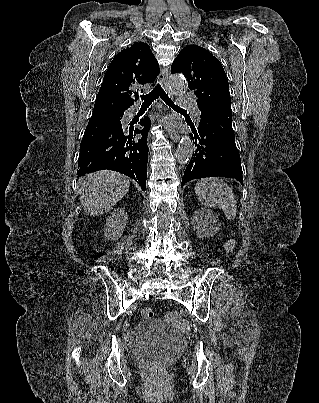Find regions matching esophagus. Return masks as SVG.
Masks as SVG:
<instances>
[{
    "instance_id": "1",
    "label": "esophagus",
    "mask_w": 319,
    "mask_h": 403,
    "mask_svg": "<svg viewBox=\"0 0 319 403\" xmlns=\"http://www.w3.org/2000/svg\"><path fill=\"white\" fill-rule=\"evenodd\" d=\"M158 79H159L161 85H162L164 88L168 89V84H167L168 69H166V68H165V69H162L161 72H160V74H159ZM167 132H168V135H169V137H170L171 140H173L174 142L179 141L180 135H179V133H178L175 129H173V128H168V127H167Z\"/></svg>"
}]
</instances>
